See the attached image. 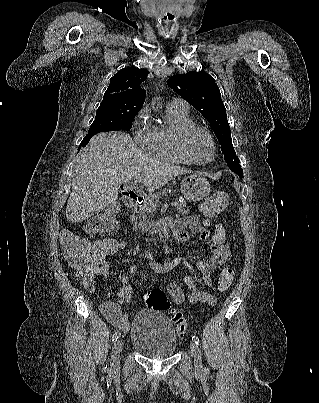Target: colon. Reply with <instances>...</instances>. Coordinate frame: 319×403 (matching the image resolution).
Returning <instances> with one entry per match:
<instances>
[{
  "mask_svg": "<svg viewBox=\"0 0 319 403\" xmlns=\"http://www.w3.org/2000/svg\"><path fill=\"white\" fill-rule=\"evenodd\" d=\"M227 195L224 192H217L206 200L204 205V214L213 217L219 214L227 203ZM122 208L120 201L113 203V208H108L106 213L93 217L89 221V229L96 233L90 234V241H84L71 232L63 236L64 249L67 256L77 264L76 278L86 288L91 289L94 286L97 275V263L102 258H123V249H125V240H118L115 233L118 229L116 219L117 210ZM211 230L215 236V244L220 246L222 243L230 242V221H211ZM234 280V271L225 268L220 274L218 289L225 291ZM145 302L148 307L167 312L174 324L176 333L182 337L187 332V322L179 310L172 307L170 300L164 290L156 288L149 291L145 296Z\"/></svg>",
  "mask_w": 319,
  "mask_h": 403,
  "instance_id": "5ec220e1",
  "label": "colon"
}]
</instances>
